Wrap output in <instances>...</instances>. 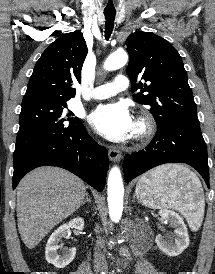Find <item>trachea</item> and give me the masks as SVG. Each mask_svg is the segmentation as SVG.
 <instances>
[{"label": "trachea", "mask_w": 215, "mask_h": 274, "mask_svg": "<svg viewBox=\"0 0 215 274\" xmlns=\"http://www.w3.org/2000/svg\"><path fill=\"white\" fill-rule=\"evenodd\" d=\"M105 15V38L108 40L114 28L115 13H104Z\"/></svg>", "instance_id": "3493384b"}]
</instances>
